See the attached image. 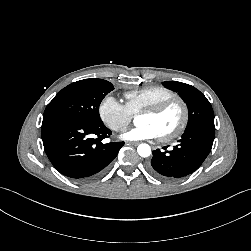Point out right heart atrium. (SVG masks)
Returning a JSON list of instances; mask_svg holds the SVG:
<instances>
[{
  "label": "right heart atrium",
  "instance_id": "right-heart-atrium-1",
  "mask_svg": "<svg viewBox=\"0 0 251 251\" xmlns=\"http://www.w3.org/2000/svg\"><path fill=\"white\" fill-rule=\"evenodd\" d=\"M98 114L101 121L116 132L124 131L133 117L127 106L111 95L102 99L98 107Z\"/></svg>",
  "mask_w": 251,
  "mask_h": 251
}]
</instances>
